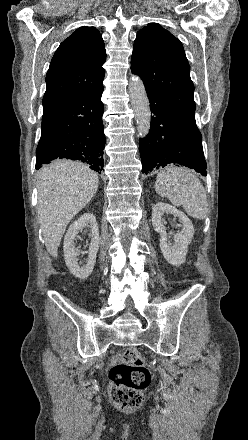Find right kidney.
I'll return each mask as SVG.
<instances>
[{
  "instance_id": "1",
  "label": "right kidney",
  "mask_w": 248,
  "mask_h": 440,
  "mask_svg": "<svg viewBox=\"0 0 248 440\" xmlns=\"http://www.w3.org/2000/svg\"><path fill=\"white\" fill-rule=\"evenodd\" d=\"M84 228L89 229L91 242L89 246V255L86 265L80 266L77 256L79 255L78 249L75 248L74 240L76 239L79 231ZM99 229L96 218L91 213H85L74 221L64 238V259L70 272L81 280H85L93 271L96 263V255L99 249Z\"/></svg>"
}]
</instances>
